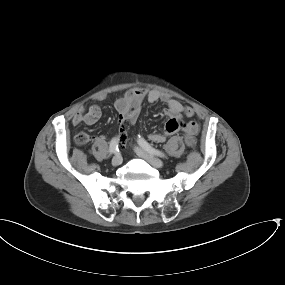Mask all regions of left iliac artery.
I'll list each match as a JSON object with an SVG mask.
<instances>
[{
  "mask_svg": "<svg viewBox=\"0 0 285 285\" xmlns=\"http://www.w3.org/2000/svg\"><path fill=\"white\" fill-rule=\"evenodd\" d=\"M138 144L153 155L159 156L161 158L166 157V154L164 152L151 146L144 138H141V136L138 138Z\"/></svg>",
  "mask_w": 285,
  "mask_h": 285,
  "instance_id": "left-iliac-artery-1",
  "label": "left iliac artery"
}]
</instances>
